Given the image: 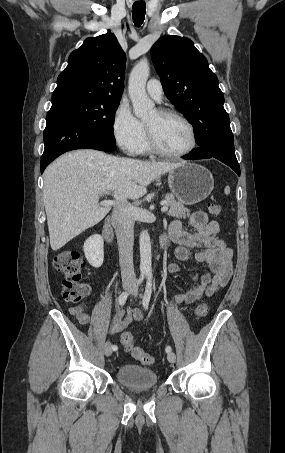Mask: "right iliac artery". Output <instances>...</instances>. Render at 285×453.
Listing matches in <instances>:
<instances>
[{
  "label": "right iliac artery",
  "instance_id": "right-iliac-artery-1",
  "mask_svg": "<svg viewBox=\"0 0 285 453\" xmlns=\"http://www.w3.org/2000/svg\"><path fill=\"white\" fill-rule=\"evenodd\" d=\"M144 277H145V273H142V274L140 275V278H139L138 281H137V286H139V285L143 282ZM130 292H131V291L123 292V293L119 296V298H118V303H119L121 306H123V305L125 304V302H126L128 296H129ZM112 350H114V351L117 350V346L113 345V346H112Z\"/></svg>",
  "mask_w": 285,
  "mask_h": 453
}]
</instances>
